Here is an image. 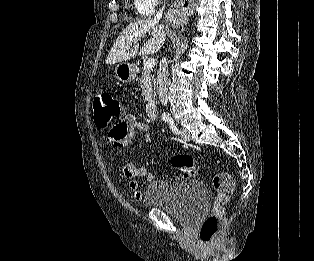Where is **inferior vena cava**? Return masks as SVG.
<instances>
[{
    "label": "inferior vena cava",
    "instance_id": "inferior-vena-cava-1",
    "mask_svg": "<svg viewBox=\"0 0 314 261\" xmlns=\"http://www.w3.org/2000/svg\"><path fill=\"white\" fill-rule=\"evenodd\" d=\"M161 16L162 11H159L155 19L159 20ZM157 93L159 96V101L163 106H166L168 102V69L167 61L165 59L160 63L159 70L157 72Z\"/></svg>",
    "mask_w": 314,
    "mask_h": 261
}]
</instances>
